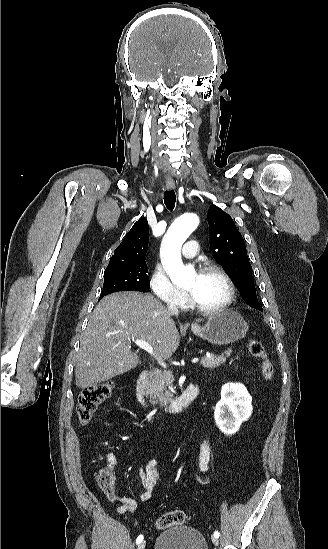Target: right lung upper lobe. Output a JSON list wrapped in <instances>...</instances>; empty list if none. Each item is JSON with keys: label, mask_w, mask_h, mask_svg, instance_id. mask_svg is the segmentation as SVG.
<instances>
[{"label": "right lung upper lobe", "mask_w": 328, "mask_h": 549, "mask_svg": "<svg viewBox=\"0 0 328 549\" xmlns=\"http://www.w3.org/2000/svg\"><path fill=\"white\" fill-rule=\"evenodd\" d=\"M148 229L146 218H141L135 222L121 244L114 251V255H112L105 271L145 261L144 257L149 239Z\"/></svg>", "instance_id": "obj_1"}]
</instances>
